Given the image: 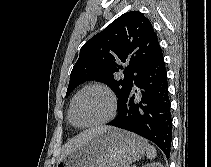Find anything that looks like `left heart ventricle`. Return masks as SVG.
Returning a JSON list of instances; mask_svg holds the SVG:
<instances>
[{
  "mask_svg": "<svg viewBox=\"0 0 211 167\" xmlns=\"http://www.w3.org/2000/svg\"><path fill=\"white\" fill-rule=\"evenodd\" d=\"M108 95L98 89H90L77 99L73 117L79 124H89L104 119L110 113Z\"/></svg>",
  "mask_w": 211,
  "mask_h": 167,
  "instance_id": "obj_1",
  "label": "left heart ventricle"
}]
</instances>
